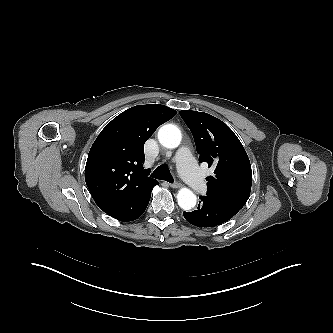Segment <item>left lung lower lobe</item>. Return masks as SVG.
Listing matches in <instances>:
<instances>
[{
  "label": "left lung lower lobe",
  "instance_id": "1",
  "mask_svg": "<svg viewBox=\"0 0 333 333\" xmlns=\"http://www.w3.org/2000/svg\"><path fill=\"white\" fill-rule=\"evenodd\" d=\"M199 206L193 212H183L185 219L197 227H214L220 225L235 213L208 197L200 196Z\"/></svg>",
  "mask_w": 333,
  "mask_h": 333
}]
</instances>
